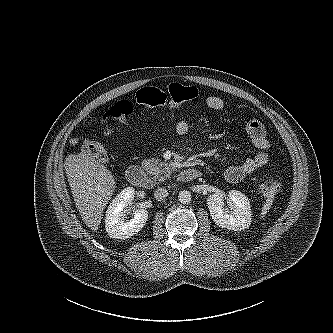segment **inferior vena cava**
I'll list each match as a JSON object with an SVG mask.
<instances>
[{
    "mask_svg": "<svg viewBox=\"0 0 333 333\" xmlns=\"http://www.w3.org/2000/svg\"><path fill=\"white\" fill-rule=\"evenodd\" d=\"M168 196V191L166 188H157L154 193L156 200L161 201Z\"/></svg>",
    "mask_w": 333,
    "mask_h": 333,
    "instance_id": "inferior-vena-cava-1",
    "label": "inferior vena cava"
}]
</instances>
